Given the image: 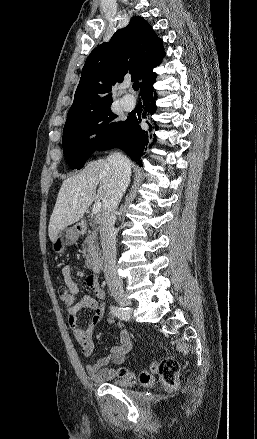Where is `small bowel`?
Wrapping results in <instances>:
<instances>
[{"mask_svg":"<svg viewBox=\"0 0 257 439\" xmlns=\"http://www.w3.org/2000/svg\"><path fill=\"white\" fill-rule=\"evenodd\" d=\"M62 276L66 287L78 293V287L72 276V269L69 265L62 268ZM86 285L92 291L93 295L86 294L68 311V324L72 330L75 340L78 342L81 353L84 357H89L94 351L93 332L97 324L102 320L105 312L104 300L105 293L101 288L96 276H88ZM91 309L93 311L86 326H82L78 320V313L82 309ZM113 323V320L109 321ZM132 348V341L129 332L121 327L119 343L113 346L107 355L96 358L86 366V372L90 379L97 383H104L114 379L117 376L118 369L108 367L110 363L121 365L124 363L127 354Z\"/></svg>","mask_w":257,"mask_h":439,"instance_id":"obj_1","label":"small bowel"}]
</instances>
